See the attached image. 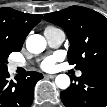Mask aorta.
Wrapping results in <instances>:
<instances>
[{
  "instance_id": "762f6f07",
  "label": "aorta",
  "mask_w": 107,
  "mask_h": 107,
  "mask_svg": "<svg viewBox=\"0 0 107 107\" xmlns=\"http://www.w3.org/2000/svg\"><path fill=\"white\" fill-rule=\"evenodd\" d=\"M46 45L45 38L39 34L30 35L26 40V48L33 54L43 52ZM55 84L60 89H67L70 86V78L67 74H59L55 78Z\"/></svg>"
}]
</instances>
